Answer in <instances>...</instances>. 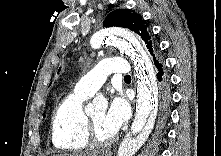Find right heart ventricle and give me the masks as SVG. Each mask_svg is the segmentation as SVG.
Here are the masks:
<instances>
[{"mask_svg":"<svg viewBox=\"0 0 221 156\" xmlns=\"http://www.w3.org/2000/svg\"><path fill=\"white\" fill-rule=\"evenodd\" d=\"M89 96L72 91L57 106L51 125L52 143L64 152L85 149L89 143L84 135L85 113L83 105Z\"/></svg>","mask_w":221,"mask_h":156,"instance_id":"e07e8e85","label":"right heart ventricle"}]
</instances>
